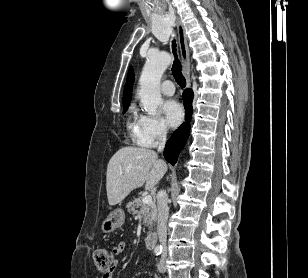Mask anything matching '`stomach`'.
<instances>
[{"label":"stomach","instance_id":"1","mask_svg":"<svg viewBox=\"0 0 308 278\" xmlns=\"http://www.w3.org/2000/svg\"><path fill=\"white\" fill-rule=\"evenodd\" d=\"M125 215L121 209L112 211L103 221L101 230L103 233H111L124 224Z\"/></svg>","mask_w":308,"mask_h":278}]
</instances>
